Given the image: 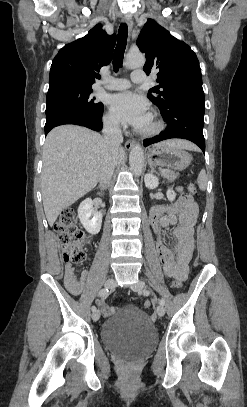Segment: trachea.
<instances>
[{
	"instance_id": "trachea-1",
	"label": "trachea",
	"mask_w": 247,
	"mask_h": 407,
	"mask_svg": "<svg viewBox=\"0 0 247 407\" xmlns=\"http://www.w3.org/2000/svg\"><path fill=\"white\" fill-rule=\"evenodd\" d=\"M128 27L126 23H121L118 30L117 45L114 50L113 68L115 72H118L122 66L124 52L127 44Z\"/></svg>"
}]
</instances>
